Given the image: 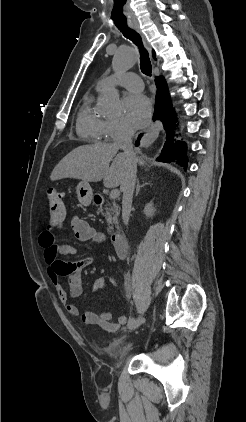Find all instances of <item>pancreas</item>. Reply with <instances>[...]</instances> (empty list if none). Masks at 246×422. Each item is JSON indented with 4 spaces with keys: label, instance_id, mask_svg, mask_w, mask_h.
Returning a JSON list of instances; mask_svg holds the SVG:
<instances>
[{
    "label": "pancreas",
    "instance_id": "cf45deb5",
    "mask_svg": "<svg viewBox=\"0 0 246 422\" xmlns=\"http://www.w3.org/2000/svg\"><path fill=\"white\" fill-rule=\"evenodd\" d=\"M103 210H105V218L108 223L107 230L108 232H111V230L113 229L112 224L118 223L119 207L115 203H113V205L108 203L104 208L100 206L99 212L103 213Z\"/></svg>",
    "mask_w": 246,
    "mask_h": 422
}]
</instances>
